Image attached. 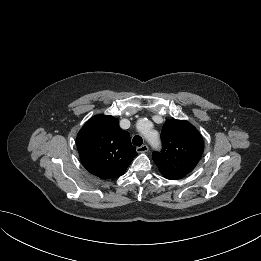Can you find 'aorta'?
I'll list each match as a JSON object with an SVG mask.
<instances>
[{
  "mask_svg": "<svg viewBox=\"0 0 261 261\" xmlns=\"http://www.w3.org/2000/svg\"><path fill=\"white\" fill-rule=\"evenodd\" d=\"M137 127H138V130L145 135L147 141L149 142V144H150L153 148H158V147H160L161 142H160L159 137H158V136H154L153 133H152V131H150V130L147 128V126L138 125Z\"/></svg>",
  "mask_w": 261,
  "mask_h": 261,
  "instance_id": "obj_1",
  "label": "aorta"
}]
</instances>
